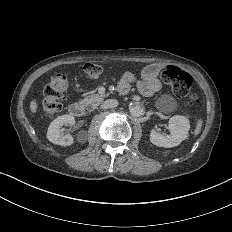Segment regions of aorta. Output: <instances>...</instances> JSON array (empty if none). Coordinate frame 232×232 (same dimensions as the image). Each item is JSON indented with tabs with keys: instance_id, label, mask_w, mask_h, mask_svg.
Segmentation results:
<instances>
[{
	"instance_id": "1",
	"label": "aorta",
	"mask_w": 232,
	"mask_h": 232,
	"mask_svg": "<svg viewBox=\"0 0 232 232\" xmlns=\"http://www.w3.org/2000/svg\"><path fill=\"white\" fill-rule=\"evenodd\" d=\"M129 113L132 117H140L144 114V109L139 102H134L129 105Z\"/></svg>"
}]
</instances>
